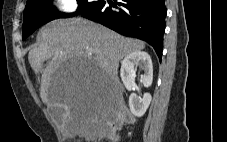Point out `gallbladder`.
<instances>
[{
  "mask_svg": "<svg viewBox=\"0 0 227 142\" xmlns=\"http://www.w3.org/2000/svg\"><path fill=\"white\" fill-rule=\"evenodd\" d=\"M63 113H64V109L62 107H50L49 108L50 116L58 122H60L62 120Z\"/></svg>",
  "mask_w": 227,
  "mask_h": 142,
  "instance_id": "1",
  "label": "gallbladder"
}]
</instances>
